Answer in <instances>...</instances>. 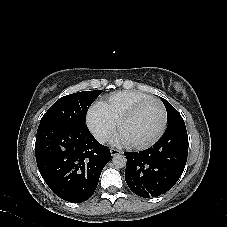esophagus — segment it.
<instances>
[{
    "instance_id": "1",
    "label": "esophagus",
    "mask_w": 227,
    "mask_h": 227,
    "mask_svg": "<svg viewBox=\"0 0 227 227\" xmlns=\"http://www.w3.org/2000/svg\"><path fill=\"white\" fill-rule=\"evenodd\" d=\"M110 152H111V155H112L113 157H115V156H117V155H119V154L122 153L120 150L115 149V148H112V149L110 150Z\"/></svg>"
}]
</instances>
